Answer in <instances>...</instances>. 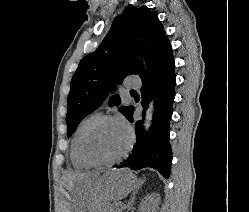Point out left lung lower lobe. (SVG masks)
I'll list each match as a JSON object with an SVG mask.
<instances>
[{
	"instance_id": "left-lung-lower-lobe-1",
	"label": "left lung lower lobe",
	"mask_w": 249,
	"mask_h": 212,
	"mask_svg": "<svg viewBox=\"0 0 249 212\" xmlns=\"http://www.w3.org/2000/svg\"><path fill=\"white\" fill-rule=\"evenodd\" d=\"M139 76L142 80V115L144 116L150 99H153V121L147 134L143 128V121L138 120L135 123L137 142L133 153L117 168L129 167L139 170L151 167L168 178L172 161L169 123L175 97L174 58L170 43L162 48L154 62ZM134 110L133 106H129L125 111V116L131 122Z\"/></svg>"
}]
</instances>
